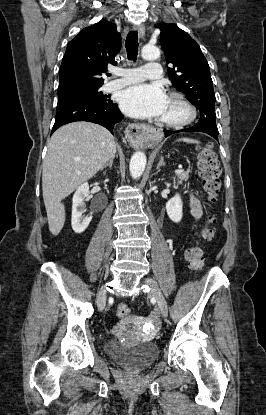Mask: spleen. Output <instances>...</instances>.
<instances>
[{
  "label": "spleen",
  "mask_w": 266,
  "mask_h": 415,
  "mask_svg": "<svg viewBox=\"0 0 266 415\" xmlns=\"http://www.w3.org/2000/svg\"><path fill=\"white\" fill-rule=\"evenodd\" d=\"M179 141H184L187 143H199L197 140L189 139V138H182V139H179Z\"/></svg>",
  "instance_id": "obj_1"
}]
</instances>
